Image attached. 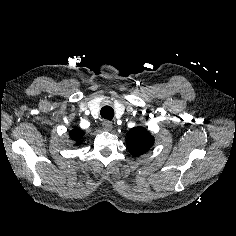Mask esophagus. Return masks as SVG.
Returning <instances> with one entry per match:
<instances>
[{
  "label": "esophagus",
  "mask_w": 236,
  "mask_h": 236,
  "mask_svg": "<svg viewBox=\"0 0 236 236\" xmlns=\"http://www.w3.org/2000/svg\"><path fill=\"white\" fill-rule=\"evenodd\" d=\"M103 129L106 131H110L113 128V124L112 122L108 121V120H104L102 123Z\"/></svg>",
  "instance_id": "esophagus-1"
}]
</instances>
